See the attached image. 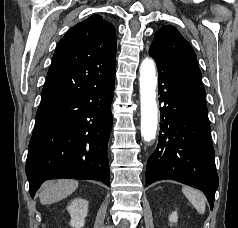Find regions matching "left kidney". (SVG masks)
Returning <instances> with one entry per match:
<instances>
[{
    "mask_svg": "<svg viewBox=\"0 0 238 228\" xmlns=\"http://www.w3.org/2000/svg\"><path fill=\"white\" fill-rule=\"evenodd\" d=\"M178 220V214L176 211L172 212L170 215H169V221H170V225H172V223H176Z\"/></svg>",
    "mask_w": 238,
    "mask_h": 228,
    "instance_id": "obj_1",
    "label": "left kidney"
}]
</instances>
